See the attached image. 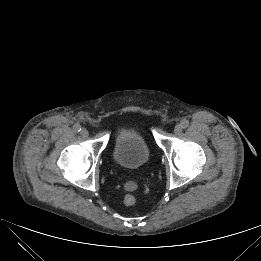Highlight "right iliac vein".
<instances>
[{
    "label": "right iliac vein",
    "mask_w": 261,
    "mask_h": 261,
    "mask_svg": "<svg viewBox=\"0 0 261 261\" xmlns=\"http://www.w3.org/2000/svg\"><path fill=\"white\" fill-rule=\"evenodd\" d=\"M81 135H82L83 137H86V136L88 135V130H87L86 128H83V129L81 130Z\"/></svg>",
    "instance_id": "1"
}]
</instances>
